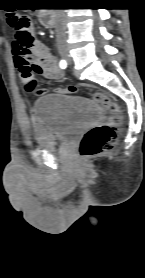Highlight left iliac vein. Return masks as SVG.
<instances>
[{
	"mask_svg": "<svg viewBox=\"0 0 145 278\" xmlns=\"http://www.w3.org/2000/svg\"><path fill=\"white\" fill-rule=\"evenodd\" d=\"M68 61L70 62V61H71V59L69 58V59H68Z\"/></svg>",
	"mask_w": 145,
	"mask_h": 278,
	"instance_id": "left-iliac-vein-1",
	"label": "left iliac vein"
}]
</instances>
